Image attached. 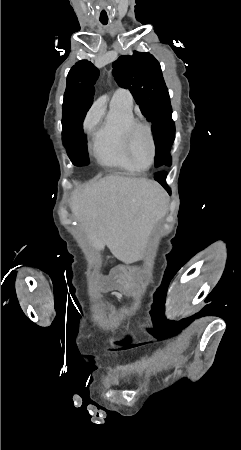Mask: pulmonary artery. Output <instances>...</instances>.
<instances>
[{"mask_svg": "<svg viewBox=\"0 0 241 450\" xmlns=\"http://www.w3.org/2000/svg\"><path fill=\"white\" fill-rule=\"evenodd\" d=\"M113 101L132 102V96L128 90L116 91L112 97Z\"/></svg>", "mask_w": 241, "mask_h": 450, "instance_id": "pulmonary-artery-1", "label": "pulmonary artery"}]
</instances>
